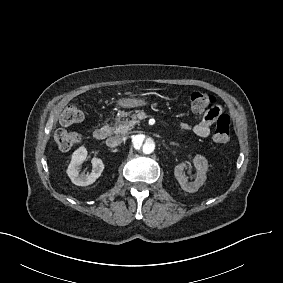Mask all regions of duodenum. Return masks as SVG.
Here are the masks:
<instances>
[{
  "instance_id": "duodenum-1",
  "label": "duodenum",
  "mask_w": 283,
  "mask_h": 283,
  "mask_svg": "<svg viewBox=\"0 0 283 283\" xmlns=\"http://www.w3.org/2000/svg\"><path fill=\"white\" fill-rule=\"evenodd\" d=\"M109 135V127L108 126H101L95 129L93 136L96 140H104Z\"/></svg>"
}]
</instances>
